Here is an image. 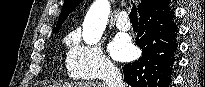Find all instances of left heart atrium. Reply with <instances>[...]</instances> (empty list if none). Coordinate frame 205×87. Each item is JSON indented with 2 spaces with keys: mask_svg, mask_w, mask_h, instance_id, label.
<instances>
[{
  "mask_svg": "<svg viewBox=\"0 0 205 87\" xmlns=\"http://www.w3.org/2000/svg\"><path fill=\"white\" fill-rule=\"evenodd\" d=\"M110 51L117 60H127L132 57L134 49L128 38L117 36L110 45Z\"/></svg>",
  "mask_w": 205,
  "mask_h": 87,
  "instance_id": "left-heart-atrium-1",
  "label": "left heart atrium"
}]
</instances>
